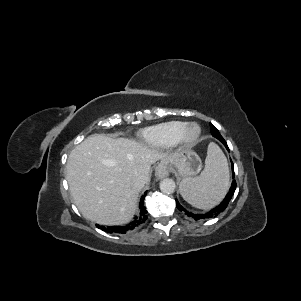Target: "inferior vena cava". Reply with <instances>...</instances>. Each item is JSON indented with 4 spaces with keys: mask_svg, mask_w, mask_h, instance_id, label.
<instances>
[{
    "mask_svg": "<svg viewBox=\"0 0 301 301\" xmlns=\"http://www.w3.org/2000/svg\"><path fill=\"white\" fill-rule=\"evenodd\" d=\"M133 185L137 189H142L145 185V177L144 176H137L133 179Z\"/></svg>",
    "mask_w": 301,
    "mask_h": 301,
    "instance_id": "inferior-vena-cava-1",
    "label": "inferior vena cava"
}]
</instances>
